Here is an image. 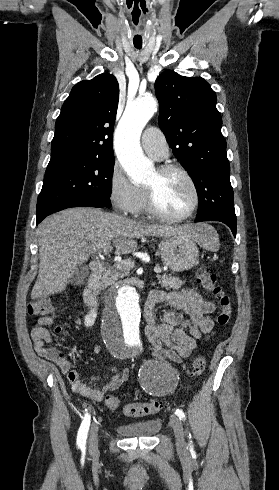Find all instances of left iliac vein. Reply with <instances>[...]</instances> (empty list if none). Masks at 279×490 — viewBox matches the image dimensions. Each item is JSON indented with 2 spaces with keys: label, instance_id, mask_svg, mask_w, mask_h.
<instances>
[{
  "label": "left iliac vein",
  "instance_id": "left-iliac-vein-1",
  "mask_svg": "<svg viewBox=\"0 0 279 490\" xmlns=\"http://www.w3.org/2000/svg\"><path fill=\"white\" fill-rule=\"evenodd\" d=\"M170 425L174 430L176 447L179 452H184L187 449V443L185 441V433L183 424L180 418L175 415L170 416Z\"/></svg>",
  "mask_w": 279,
  "mask_h": 490
}]
</instances>
